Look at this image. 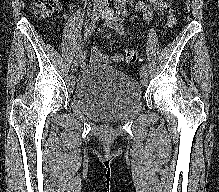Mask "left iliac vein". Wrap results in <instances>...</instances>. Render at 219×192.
I'll return each mask as SVG.
<instances>
[{"mask_svg":"<svg viewBox=\"0 0 219 192\" xmlns=\"http://www.w3.org/2000/svg\"><path fill=\"white\" fill-rule=\"evenodd\" d=\"M105 25L107 27H109V28L114 29L117 33H120V25H121V23H120V21L117 18L113 17V18H110V19H106L105 20ZM140 76L142 78V83L144 85H146L147 82H148L147 81V78H148V71H147V69L142 68Z\"/></svg>","mask_w":219,"mask_h":192,"instance_id":"4c4485c4","label":"left iliac vein"}]
</instances>
